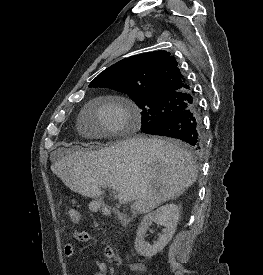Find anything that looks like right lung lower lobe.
<instances>
[{
  "instance_id": "1",
  "label": "right lung lower lobe",
  "mask_w": 263,
  "mask_h": 275,
  "mask_svg": "<svg viewBox=\"0 0 263 275\" xmlns=\"http://www.w3.org/2000/svg\"><path fill=\"white\" fill-rule=\"evenodd\" d=\"M146 133L180 139L196 151L203 147V124L196 103Z\"/></svg>"
}]
</instances>
